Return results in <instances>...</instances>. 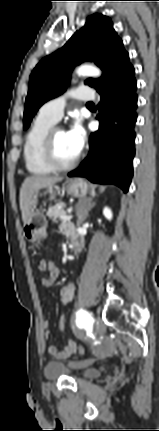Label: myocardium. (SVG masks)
<instances>
[{"label":"myocardium","instance_id":"f54148a6","mask_svg":"<svg viewBox=\"0 0 159 431\" xmlns=\"http://www.w3.org/2000/svg\"><path fill=\"white\" fill-rule=\"evenodd\" d=\"M59 130L61 129L52 128L48 132L43 145V157L46 163L54 171H67L74 168L78 164L80 161V155L78 154L77 157L69 163H61L58 160L55 153V135Z\"/></svg>","mask_w":159,"mask_h":431}]
</instances>
